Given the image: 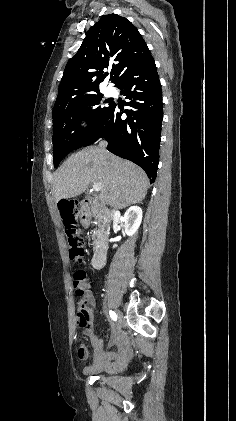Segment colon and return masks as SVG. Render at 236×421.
<instances>
[{"mask_svg":"<svg viewBox=\"0 0 236 421\" xmlns=\"http://www.w3.org/2000/svg\"><path fill=\"white\" fill-rule=\"evenodd\" d=\"M63 213L65 232L68 238L69 257L72 261L81 262L84 257L81 231L77 227L69 205L63 207ZM73 282L78 296L85 295L91 286V279L83 269H77L74 272ZM77 321L80 327H85L90 322V311L83 305H80L79 307ZM86 353V347L80 345L78 348V356L83 357Z\"/></svg>","mask_w":236,"mask_h":421,"instance_id":"1","label":"colon"}]
</instances>
